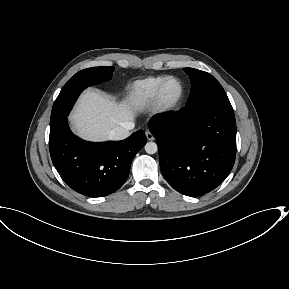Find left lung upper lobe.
<instances>
[{"label":"left lung upper lobe","instance_id":"5c2ea615","mask_svg":"<svg viewBox=\"0 0 289 289\" xmlns=\"http://www.w3.org/2000/svg\"><path fill=\"white\" fill-rule=\"evenodd\" d=\"M184 71L191 80V92L185 107L218 105L232 109L223 87L211 74L193 68H184Z\"/></svg>","mask_w":289,"mask_h":289}]
</instances>
